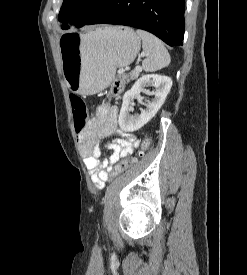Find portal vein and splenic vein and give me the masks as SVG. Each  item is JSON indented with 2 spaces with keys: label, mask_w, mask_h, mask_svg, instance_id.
Masks as SVG:
<instances>
[{
  "label": "portal vein and splenic vein",
  "mask_w": 247,
  "mask_h": 275,
  "mask_svg": "<svg viewBox=\"0 0 247 275\" xmlns=\"http://www.w3.org/2000/svg\"><path fill=\"white\" fill-rule=\"evenodd\" d=\"M135 70L141 72V71H142V68H141L139 65H137V66L135 67Z\"/></svg>",
  "instance_id": "obj_1"
}]
</instances>
